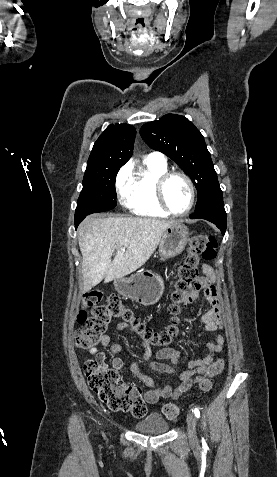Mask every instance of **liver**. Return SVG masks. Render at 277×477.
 I'll return each instance as SVG.
<instances>
[{"instance_id":"liver-1","label":"liver","mask_w":277,"mask_h":477,"mask_svg":"<svg viewBox=\"0 0 277 477\" xmlns=\"http://www.w3.org/2000/svg\"><path fill=\"white\" fill-rule=\"evenodd\" d=\"M175 223L140 217H87L78 229L83 257L82 291L91 290L103 279L110 282L140 268L154 253L166 229Z\"/></svg>"}]
</instances>
